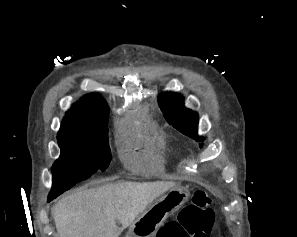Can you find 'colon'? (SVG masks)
<instances>
[{
    "mask_svg": "<svg viewBox=\"0 0 297 237\" xmlns=\"http://www.w3.org/2000/svg\"><path fill=\"white\" fill-rule=\"evenodd\" d=\"M214 219L209 195L196 190L191 203L180 211L178 218L162 226L155 237H209Z\"/></svg>",
    "mask_w": 297,
    "mask_h": 237,
    "instance_id": "colon-1",
    "label": "colon"
}]
</instances>
